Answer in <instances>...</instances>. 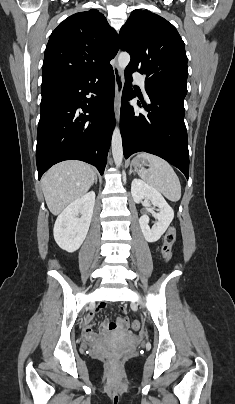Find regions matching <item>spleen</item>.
<instances>
[{"label":"spleen","mask_w":235,"mask_h":404,"mask_svg":"<svg viewBox=\"0 0 235 404\" xmlns=\"http://www.w3.org/2000/svg\"><path fill=\"white\" fill-rule=\"evenodd\" d=\"M138 157L149 162V169L139 171L141 178L170 201L180 200V181L170 164L158 156L145 152L140 153Z\"/></svg>","instance_id":"spleen-1"}]
</instances>
